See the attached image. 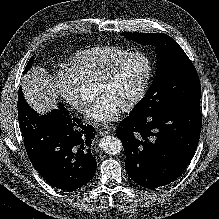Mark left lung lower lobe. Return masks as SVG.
<instances>
[{
  "label": "left lung lower lobe",
  "mask_w": 219,
  "mask_h": 219,
  "mask_svg": "<svg viewBox=\"0 0 219 219\" xmlns=\"http://www.w3.org/2000/svg\"><path fill=\"white\" fill-rule=\"evenodd\" d=\"M201 125L200 101L155 115L127 116L116 136L123 143L130 178L151 189L174 181L195 153Z\"/></svg>",
  "instance_id": "0a47b994"
}]
</instances>
